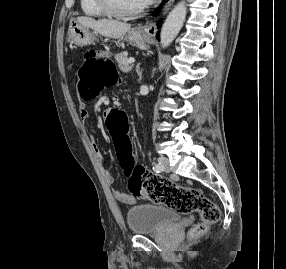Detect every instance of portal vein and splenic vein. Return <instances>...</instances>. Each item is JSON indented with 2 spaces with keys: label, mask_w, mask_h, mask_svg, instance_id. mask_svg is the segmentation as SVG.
Returning a JSON list of instances; mask_svg holds the SVG:
<instances>
[{
  "label": "portal vein and splenic vein",
  "mask_w": 286,
  "mask_h": 269,
  "mask_svg": "<svg viewBox=\"0 0 286 269\" xmlns=\"http://www.w3.org/2000/svg\"><path fill=\"white\" fill-rule=\"evenodd\" d=\"M135 63V59L134 58H130L129 59V64H134Z\"/></svg>",
  "instance_id": "18ae733b"
}]
</instances>
